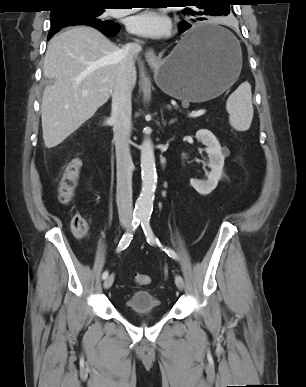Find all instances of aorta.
Listing matches in <instances>:
<instances>
[{"label":"aorta","mask_w":306,"mask_h":387,"mask_svg":"<svg viewBox=\"0 0 306 387\" xmlns=\"http://www.w3.org/2000/svg\"><path fill=\"white\" fill-rule=\"evenodd\" d=\"M140 150L142 187L135 203L134 214L138 218H148L153 211L154 194L157 185L153 144L149 139H145Z\"/></svg>","instance_id":"obj_1"}]
</instances>
